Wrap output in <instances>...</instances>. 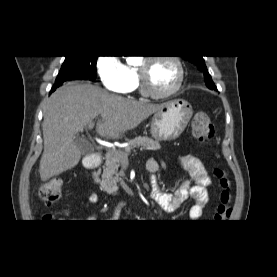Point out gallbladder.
<instances>
[{
    "label": "gallbladder",
    "mask_w": 277,
    "mask_h": 277,
    "mask_svg": "<svg viewBox=\"0 0 277 277\" xmlns=\"http://www.w3.org/2000/svg\"><path fill=\"white\" fill-rule=\"evenodd\" d=\"M74 143L80 149L83 155H90L93 153V147L88 140L80 137H75Z\"/></svg>",
    "instance_id": "bac80fb5"
}]
</instances>
